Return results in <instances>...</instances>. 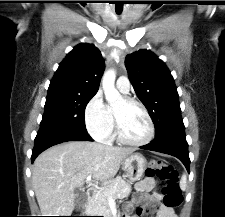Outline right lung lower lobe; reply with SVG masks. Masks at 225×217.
Returning <instances> with one entry per match:
<instances>
[{
	"mask_svg": "<svg viewBox=\"0 0 225 217\" xmlns=\"http://www.w3.org/2000/svg\"><path fill=\"white\" fill-rule=\"evenodd\" d=\"M67 141H93L87 132L70 130L57 126H40V130L34 140L31 161L47 148Z\"/></svg>",
	"mask_w": 225,
	"mask_h": 217,
	"instance_id": "1",
	"label": "right lung lower lobe"
}]
</instances>
